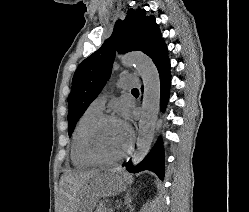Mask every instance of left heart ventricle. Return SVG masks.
I'll use <instances>...</instances> for the list:
<instances>
[{"mask_svg":"<svg viewBox=\"0 0 249 212\" xmlns=\"http://www.w3.org/2000/svg\"><path fill=\"white\" fill-rule=\"evenodd\" d=\"M129 142L130 137L121 123L108 121L96 130L92 139V150L101 159H113L125 152Z\"/></svg>","mask_w":249,"mask_h":212,"instance_id":"b2bd125f","label":"left heart ventricle"}]
</instances>
